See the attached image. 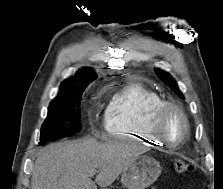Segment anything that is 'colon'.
Masks as SVG:
<instances>
[{
  "label": "colon",
  "mask_w": 223,
  "mask_h": 189,
  "mask_svg": "<svg viewBox=\"0 0 223 189\" xmlns=\"http://www.w3.org/2000/svg\"><path fill=\"white\" fill-rule=\"evenodd\" d=\"M191 165L184 160L178 159L174 163V169L179 174L188 173L191 170Z\"/></svg>",
  "instance_id": "1"
}]
</instances>
